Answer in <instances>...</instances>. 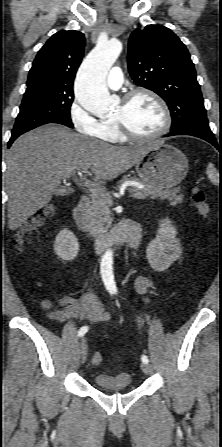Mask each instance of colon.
<instances>
[{"mask_svg":"<svg viewBox=\"0 0 222 447\" xmlns=\"http://www.w3.org/2000/svg\"><path fill=\"white\" fill-rule=\"evenodd\" d=\"M192 200L200 216L204 219H208L210 214V208L206 200L205 193L200 188H194L192 190ZM52 209L47 208L29 219L20 229L15 236V246L18 250L26 244L29 236H31L38 228H40L45 221L51 216ZM94 364H99L102 361L100 353H95L92 357Z\"/></svg>","mask_w":222,"mask_h":447,"instance_id":"5ec220e1","label":"colon"}]
</instances>
